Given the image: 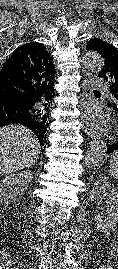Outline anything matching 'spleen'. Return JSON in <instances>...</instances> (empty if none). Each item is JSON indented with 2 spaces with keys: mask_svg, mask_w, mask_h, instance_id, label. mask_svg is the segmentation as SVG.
<instances>
[{
  "mask_svg": "<svg viewBox=\"0 0 118 269\" xmlns=\"http://www.w3.org/2000/svg\"><path fill=\"white\" fill-rule=\"evenodd\" d=\"M110 171L114 178L118 179V151H115L110 158Z\"/></svg>",
  "mask_w": 118,
  "mask_h": 269,
  "instance_id": "spleen-1",
  "label": "spleen"
}]
</instances>
